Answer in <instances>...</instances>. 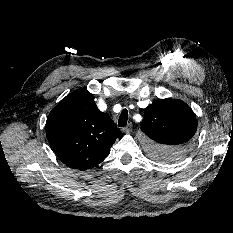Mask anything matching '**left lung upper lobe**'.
<instances>
[{
    "label": "left lung upper lobe",
    "instance_id": "5c2ea615",
    "mask_svg": "<svg viewBox=\"0 0 233 233\" xmlns=\"http://www.w3.org/2000/svg\"><path fill=\"white\" fill-rule=\"evenodd\" d=\"M141 130L150 138V154L161 161L173 162L191 148L197 120L183 101L158 99L145 109Z\"/></svg>",
    "mask_w": 233,
    "mask_h": 233
}]
</instances>
